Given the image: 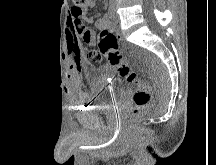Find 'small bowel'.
I'll return each mask as SVG.
<instances>
[{
	"label": "small bowel",
	"mask_w": 216,
	"mask_h": 165,
	"mask_svg": "<svg viewBox=\"0 0 216 165\" xmlns=\"http://www.w3.org/2000/svg\"><path fill=\"white\" fill-rule=\"evenodd\" d=\"M94 5L95 0H90L89 3L80 10H77L74 7L71 9V15L67 28V42L68 48L74 55V59L78 67L82 63V54L80 50L79 40L81 39L86 44L92 46L96 44V32L92 29L87 28L83 23V20L88 24L95 22L93 17L85 16L84 13L86 7H93ZM96 25L100 28L109 27V23L106 20H100L96 22Z\"/></svg>",
	"instance_id": "obj_1"
}]
</instances>
